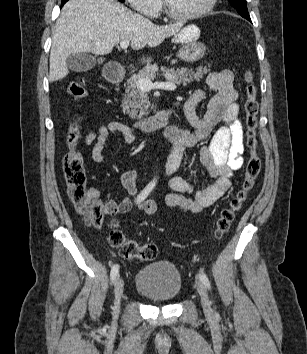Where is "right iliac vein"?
<instances>
[{"label": "right iliac vein", "mask_w": 307, "mask_h": 354, "mask_svg": "<svg viewBox=\"0 0 307 354\" xmlns=\"http://www.w3.org/2000/svg\"><path fill=\"white\" fill-rule=\"evenodd\" d=\"M124 291V281L121 278H117L115 282V300H114V307H113V315L116 318L119 314L120 309V301Z\"/></svg>", "instance_id": "obj_1"}]
</instances>
